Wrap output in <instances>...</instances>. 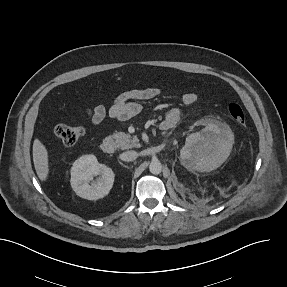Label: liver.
I'll return each mask as SVG.
<instances>
[{"label": "liver", "instance_id": "obj_1", "mask_svg": "<svg viewBox=\"0 0 287 287\" xmlns=\"http://www.w3.org/2000/svg\"><path fill=\"white\" fill-rule=\"evenodd\" d=\"M33 162L39 179L46 181L49 175L48 151L39 139L33 143Z\"/></svg>", "mask_w": 287, "mask_h": 287}]
</instances>
